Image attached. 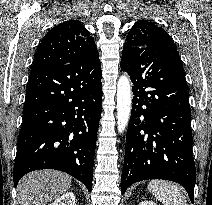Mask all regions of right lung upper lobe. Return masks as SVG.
I'll use <instances>...</instances> for the list:
<instances>
[{"label":"right lung upper lobe","mask_w":212,"mask_h":205,"mask_svg":"<svg viewBox=\"0 0 212 205\" xmlns=\"http://www.w3.org/2000/svg\"><path fill=\"white\" fill-rule=\"evenodd\" d=\"M99 55L94 39L78 20L54 26L41 40L35 53L32 71L66 64H96Z\"/></svg>","instance_id":"right-lung-upper-lobe-1"}]
</instances>
